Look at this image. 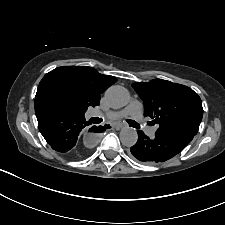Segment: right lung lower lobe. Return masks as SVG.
Instances as JSON below:
<instances>
[{
  "label": "right lung lower lobe",
  "mask_w": 225,
  "mask_h": 225,
  "mask_svg": "<svg viewBox=\"0 0 225 225\" xmlns=\"http://www.w3.org/2000/svg\"><path fill=\"white\" fill-rule=\"evenodd\" d=\"M39 131L53 150L71 158H82L86 150L78 146L80 135L87 128L84 114H78L60 108L48 101L37 100L34 103ZM108 126H93L90 132H102ZM92 136L94 134H91ZM89 146V143H86Z\"/></svg>",
  "instance_id": "1"
}]
</instances>
